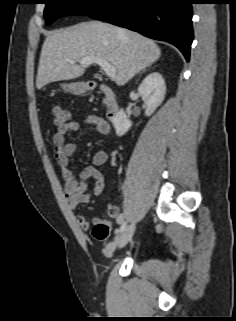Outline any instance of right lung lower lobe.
Wrapping results in <instances>:
<instances>
[{"label":"right lung lower lobe","mask_w":236,"mask_h":321,"mask_svg":"<svg viewBox=\"0 0 236 321\" xmlns=\"http://www.w3.org/2000/svg\"><path fill=\"white\" fill-rule=\"evenodd\" d=\"M193 0H111L91 18L167 41L189 61L193 41Z\"/></svg>","instance_id":"1"}]
</instances>
